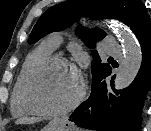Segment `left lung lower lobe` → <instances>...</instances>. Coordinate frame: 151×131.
<instances>
[{"instance_id":"left-lung-lower-lobe-1","label":"left lung lower lobe","mask_w":151,"mask_h":131,"mask_svg":"<svg viewBox=\"0 0 151 131\" xmlns=\"http://www.w3.org/2000/svg\"><path fill=\"white\" fill-rule=\"evenodd\" d=\"M130 28L142 48L136 78L124 90L116 91L113 80L111 89L107 88L105 78L111 74L110 66L92 82L90 97L70 116L69 120L77 126L97 131H140L141 109L146 92L151 90V19L144 4Z\"/></svg>"}]
</instances>
